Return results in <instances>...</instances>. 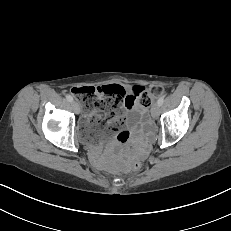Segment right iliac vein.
<instances>
[{
  "mask_svg": "<svg viewBox=\"0 0 231 231\" xmlns=\"http://www.w3.org/2000/svg\"><path fill=\"white\" fill-rule=\"evenodd\" d=\"M72 108L76 114L80 113V105L77 102L75 101L72 102Z\"/></svg>",
  "mask_w": 231,
  "mask_h": 231,
  "instance_id": "right-iliac-vein-1",
  "label": "right iliac vein"
}]
</instances>
